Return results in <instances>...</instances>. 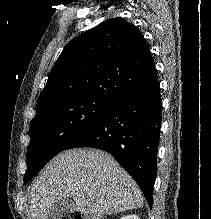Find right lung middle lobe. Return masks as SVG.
I'll return each instance as SVG.
<instances>
[{"instance_id":"right-lung-middle-lobe-1","label":"right lung middle lobe","mask_w":211,"mask_h":219,"mask_svg":"<svg viewBox=\"0 0 211 219\" xmlns=\"http://www.w3.org/2000/svg\"><path fill=\"white\" fill-rule=\"evenodd\" d=\"M100 97H85L56 104L32 120L27 147V183L49 160L65 150L80 134L92 126L113 104Z\"/></svg>"}]
</instances>
